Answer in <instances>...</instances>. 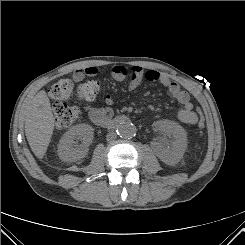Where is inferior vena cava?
<instances>
[{
    "mask_svg": "<svg viewBox=\"0 0 245 245\" xmlns=\"http://www.w3.org/2000/svg\"><path fill=\"white\" fill-rule=\"evenodd\" d=\"M117 137L116 133L111 131L107 134V141L111 142L113 140H115Z\"/></svg>",
    "mask_w": 245,
    "mask_h": 245,
    "instance_id": "1",
    "label": "inferior vena cava"
}]
</instances>
